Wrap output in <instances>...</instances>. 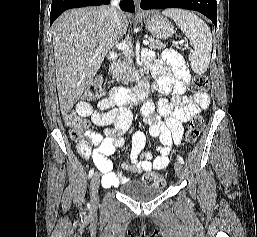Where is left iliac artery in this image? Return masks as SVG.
I'll use <instances>...</instances> for the list:
<instances>
[{"label":"left iliac artery","instance_id":"44dca946","mask_svg":"<svg viewBox=\"0 0 257 237\" xmlns=\"http://www.w3.org/2000/svg\"><path fill=\"white\" fill-rule=\"evenodd\" d=\"M177 159L181 164H184V160L180 155H177Z\"/></svg>","mask_w":257,"mask_h":237}]
</instances>
